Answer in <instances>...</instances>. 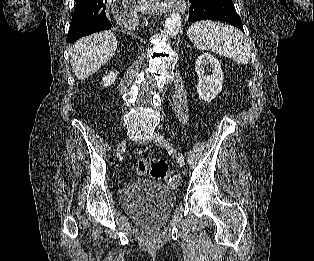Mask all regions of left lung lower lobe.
<instances>
[{
    "instance_id": "0a47b994",
    "label": "left lung lower lobe",
    "mask_w": 314,
    "mask_h": 261,
    "mask_svg": "<svg viewBox=\"0 0 314 261\" xmlns=\"http://www.w3.org/2000/svg\"><path fill=\"white\" fill-rule=\"evenodd\" d=\"M190 16L188 22L198 20H218L228 22L242 32V21L232 4V0H190Z\"/></svg>"
}]
</instances>
